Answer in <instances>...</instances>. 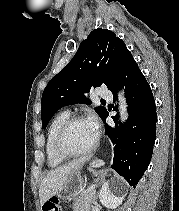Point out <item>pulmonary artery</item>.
<instances>
[{"mask_svg":"<svg viewBox=\"0 0 179 211\" xmlns=\"http://www.w3.org/2000/svg\"><path fill=\"white\" fill-rule=\"evenodd\" d=\"M98 96L103 99H112V92L105 87H101L98 89Z\"/></svg>","mask_w":179,"mask_h":211,"instance_id":"e3ab8cb5","label":"pulmonary artery"}]
</instances>
